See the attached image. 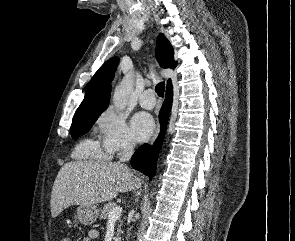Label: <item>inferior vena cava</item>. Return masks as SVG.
Instances as JSON below:
<instances>
[{
  "instance_id": "obj_1",
  "label": "inferior vena cava",
  "mask_w": 295,
  "mask_h": 241,
  "mask_svg": "<svg viewBox=\"0 0 295 241\" xmlns=\"http://www.w3.org/2000/svg\"><path fill=\"white\" fill-rule=\"evenodd\" d=\"M135 143L131 139H126L122 144V154L119 160V164L124 165L123 163L129 161L133 151H134Z\"/></svg>"
}]
</instances>
